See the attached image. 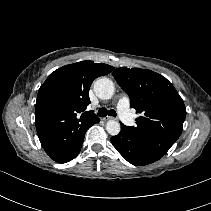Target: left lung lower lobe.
Listing matches in <instances>:
<instances>
[{"instance_id":"1","label":"left lung lower lobe","mask_w":211,"mask_h":211,"mask_svg":"<svg viewBox=\"0 0 211 211\" xmlns=\"http://www.w3.org/2000/svg\"><path fill=\"white\" fill-rule=\"evenodd\" d=\"M116 150L131 164L141 166L161 158L152 151L128 126L121 123V131L111 138Z\"/></svg>"}]
</instances>
